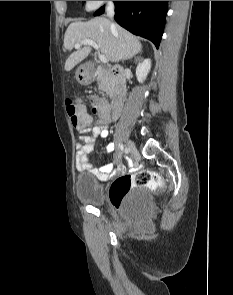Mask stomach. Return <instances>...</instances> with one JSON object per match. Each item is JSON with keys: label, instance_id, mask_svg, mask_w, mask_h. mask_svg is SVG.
I'll return each mask as SVG.
<instances>
[{"label": "stomach", "instance_id": "1", "mask_svg": "<svg viewBox=\"0 0 233 295\" xmlns=\"http://www.w3.org/2000/svg\"><path fill=\"white\" fill-rule=\"evenodd\" d=\"M93 78V75L89 70H87L86 66H80L76 71V79L81 84L89 83Z\"/></svg>", "mask_w": 233, "mask_h": 295}]
</instances>
